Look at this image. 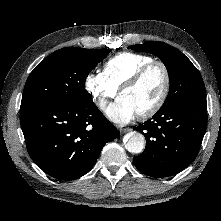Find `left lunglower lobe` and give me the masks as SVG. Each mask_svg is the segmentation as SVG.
I'll return each instance as SVG.
<instances>
[{
	"instance_id": "0a47b994",
	"label": "left lung lower lobe",
	"mask_w": 221,
	"mask_h": 221,
	"mask_svg": "<svg viewBox=\"0 0 221 221\" xmlns=\"http://www.w3.org/2000/svg\"><path fill=\"white\" fill-rule=\"evenodd\" d=\"M207 127V103H175L135 128L146 138L142 154L133 158L136 168L151 177H168L196 158Z\"/></svg>"
}]
</instances>
